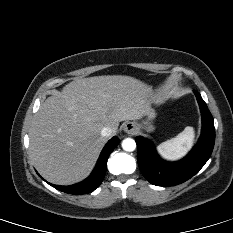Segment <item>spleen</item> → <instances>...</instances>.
<instances>
[{
    "instance_id": "1",
    "label": "spleen",
    "mask_w": 233,
    "mask_h": 233,
    "mask_svg": "<svg viewBox=\"0 0 233 233\" xmlns=\"http://www.w3.org/2000/svg\"><path fill=\"white\" fill-rule=\"evenodd\" d=\"M195 138L193 127L187 126L176 137L171 138L157 146V152L167 160H177L187 154Z\"/></svg>"
}]
</instances>
